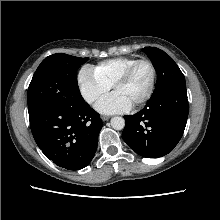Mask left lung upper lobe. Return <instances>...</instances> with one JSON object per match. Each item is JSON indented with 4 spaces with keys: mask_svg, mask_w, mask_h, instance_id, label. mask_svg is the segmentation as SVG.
<instances>
[{
    "mask_svg": "<svg viewBox=\"0 0 220 220\" xmlns=\"http://www.w3.org/2000/svg\"><path fill=\"white\" fill-rule=\"evenodd\" d=\"M143 51L152 60L157 71V83L152 96L172 86L185 84L183 73L168 54L155 47H145Z\"/></svg>",
    "mask_w": 220,
    "mask_h": 220,
    "instance_id": "5c2ea615",
    "label": "left lung upper lobe"
}]
</instances>
